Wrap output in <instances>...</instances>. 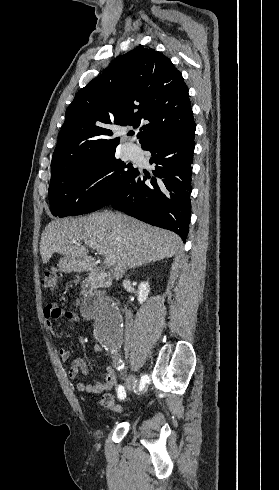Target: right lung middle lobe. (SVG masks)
Listing matches in <instances>:
<instances>
[{"label": "right lung middle lobe", "instance_id": "dd1d6c3e", "mask_svg": "<svg viewBox=\"0 0 279 490\" xmlns=\"http://www.w3.org/2000/svg\"><path fill=\"white\" fill-rule=\"evenodd\" d=\"M115 149L52 178L50 210L54 216L87 214L104 207L137 168L116 159Z\"/></svg>", "mask_w": 279, "mask_h": 490}]
</instances>
